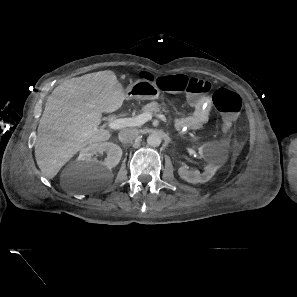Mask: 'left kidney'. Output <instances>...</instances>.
<instances>
[{"label": "left kidney", "instance_id": "1", "mask_svg": "<svg viewBox=\"0 0 297 297\" xmlns=\"http://www.w3.org/2000/svg\"><path fill=\"white\" fill-rule=\"evenodd\" d=\"M198 154L207 162L203 173H200L198 170H188L186 166H181L178 169L180 178L191 184L205 183L209 181L214 176L217 169L223 164L222 158L209 143L200 146L198 148Z\"/></svg>", "mask_w": 297, "mask_h": 297}]
</instances>
